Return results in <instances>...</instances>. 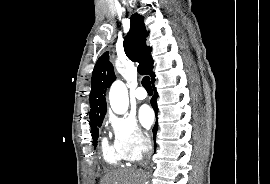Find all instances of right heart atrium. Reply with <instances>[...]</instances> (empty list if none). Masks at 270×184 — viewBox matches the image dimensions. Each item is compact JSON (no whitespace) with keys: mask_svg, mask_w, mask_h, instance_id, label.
Here are the masks:
<instances>
[{"mask_svg":"<svg viewBox=\"0 0 270 184\" xmlns=\"http://www.w3.org/2000/svg\"><path fill=\"white\" fill-rule=\"evenodd\" d=\"M108 124L113 134V144L125 161L139 160L150 146L148 136L130 116L111 114Z\"/></svg>","mask_w":270,"mask_h":184,"instance_id":"right-heart-atrium-1","label":"right heart atrium"}]
</instances>
